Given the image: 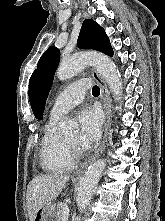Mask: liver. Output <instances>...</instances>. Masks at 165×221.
Returning <instances> with one entry per match:
<instances>
[{
	"label": "liver",
	"instance_id": "obj_1",
	"mask_svg": "<svg viewBox=\"0 0 165 221\" xmlns=\"http://www.w3.org/2000/svg\"><path fill=\"white\" fill-rule=\"evenodd\" d=\"M69 179L68 175L40 174L35 176L27 187L26 201L30 221H34L36 213L45 205L56 199Z\"/></svg>",
	"mask_w": 165,
	"mask_h": 221
}]
</instances>
